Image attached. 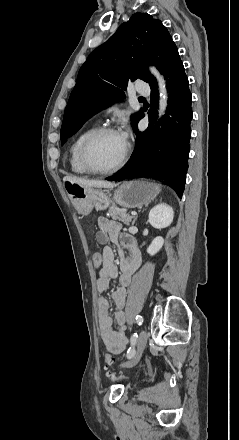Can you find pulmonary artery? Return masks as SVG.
Listing matches in <instances>:
<instances>
[{"label": "pulmonary artery", "instance_id": "e3ab8cb5", "mask_svg": "<svg viewBox=\"0 0 239 440\" xmlns=\"http://www.w3.org/2000/svg\"><path fill=\"white\" fill-rule=\"evenodd\" d=\"M136 90H137L138 92H142L141 89H140L139 87H137V86H136Z\"/></svg>", "mask_w": 239, "mask_h": 440}]
</instances>
